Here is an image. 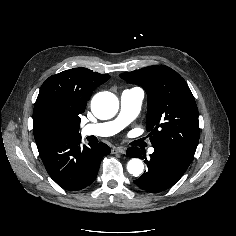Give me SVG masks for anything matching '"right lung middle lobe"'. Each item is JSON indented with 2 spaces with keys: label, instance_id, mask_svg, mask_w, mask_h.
<instances>
[{
  "label": "right lung middle lobe",
  "instance_id": "1",
  "mask_svg": "<svg viewBox=\"0 0 236 236\" xmlns=\"http://www.w3.org/2000/svg\"><path fill=\"white\" fill-rule=\"evenodd\" d=\"M46 129H47L48 135L51 138L77 134V133L61 130L54 120H49L46 123Z\"/></svg>",
  "mask_w": 236,
  "mask_h": 236
}]
</instances>
